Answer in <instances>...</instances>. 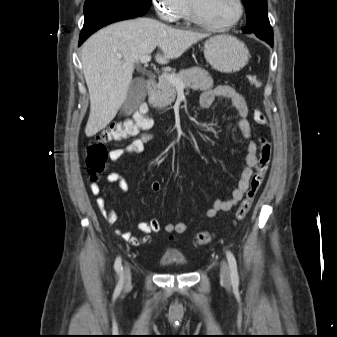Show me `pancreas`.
<instances>
[{
	"instance_id": "pancreas-1",
	"label": "pancreas",
	"mask_w": 337,
	"mask_h": 337,
	"mask_svg": "<svg viewBox=\"0 0 337 337\" xmlns=\"http://www.w3.org/2000/svg\"><path fill=\"white\" fill-rule=\"evenodd\" d=\"M171 75L181 81L186 88L207 90L213 87V79L208 71L199 67L181 70L179 73H172ZM176 94V87L164 76H161L155 89L150 94L149 103L153 107L162 109L175 100Z\"/></svg>"
}]
</instances>
